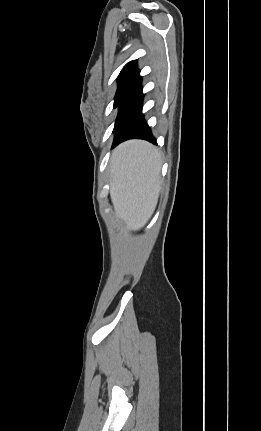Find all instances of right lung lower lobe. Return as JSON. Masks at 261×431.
<instances>
[{
  "label": "right lung lower lobe",
  "instance_id": "98d812e1",
  "mask_svg": "<svg viewBox=\"0 0 261 431\" xmlns=\"http://www.w3.org/2000/svg\"><path fill=\"white\" fill-rule=\"evenodd\" d=\"M141 77L139 76L119 104L113 147L128 139H145L156 143L150 128L143 119Z\"/></svg>",
  "mask_w": 261,
  "mask_h": 431
}]
</instances>
